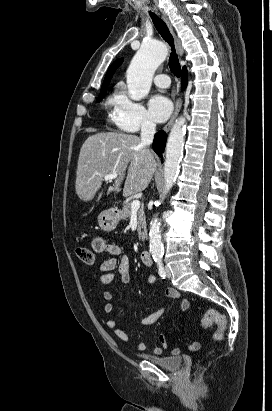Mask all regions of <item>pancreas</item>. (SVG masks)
<instances>
[{
	"instance_id": "pancreas-1",
	"label": "pancreas",
	"mask_w": 272,
	"mask_h": 411,
	"mask_svg": "<svg viewBox=\"0 0 272 411\" xmlns=\"http://www.w3.org/2000/svg\"><path fill=\"white\" fill-rule=\"evenodd\" d=\"M137 216H138V226H137L138 236H139V239H144L145 232H143L142 229H145L146 222H145V213H144L143 207L138 209ZM130 217H131V203H127L122 208L120 219L128 220L130 219Z\"/></svg>"
}]
</instances>
